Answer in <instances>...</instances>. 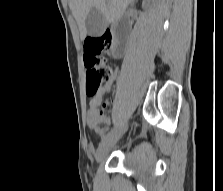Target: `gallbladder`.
Returning <instances> with one entry per match:
<instances>
[{"label": "gallbladder", "instance_id": "1", "mask_svg": "<svg viewBox=\"0 0 223 191\" xmlns=\"http://www.w3.org/2000/svg\"><path fill=\"white\" fill-rule=\"evenodd\" d=\"M106 26L107 21L103 13L96 8H92L85 19L87 34L91 37H98L103 33Z\"/></svg>", "mask_w": 223, "mask_h": 191}]
</instances>
